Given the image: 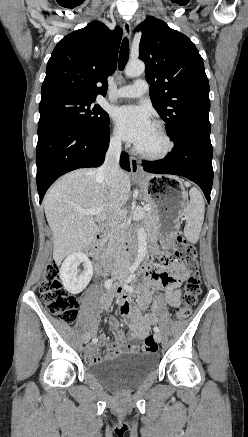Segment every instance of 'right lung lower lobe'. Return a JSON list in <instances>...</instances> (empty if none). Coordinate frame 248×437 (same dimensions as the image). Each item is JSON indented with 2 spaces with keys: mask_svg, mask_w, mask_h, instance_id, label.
<instances>
[{
  "mask_svg": "<svg viewBox=\"0 0 248 437\" xmlns=\"http://www.w3.org/2000/svg\"><path fill=\"white\" fill-rule=\"evenodd\" d=\"M109 135V125L102 131H91L64 120L39 121L36 180L40 203L47 189L61 175L78 168L102 165ZM120 165L130 171L129 156L124 152Z\"/></svg>",
  "mask_w": 248,
  "mask_h": 437,
  "instance_id": "obj_1",
  "label": "right lung lower lobe"
}]
</instances>
